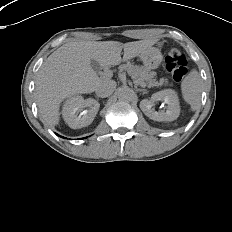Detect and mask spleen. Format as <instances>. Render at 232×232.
I'll use <instances>...</instances> for the list:
<instances>
[{
    "instance_id": "3e777b00",
    "label": "spleen",
    "mask_w": 232,
    "mask_h": 232,
    "mask_svg": "<svg viewBox=\"0 0 232 232\" xmlns=\"http://www.w3.org/2000/svg\"><path fill=\"white\" fill-rule=\"evenodd\" d=\"M181 93L183 99L191 106L193 111H196L200 107L202 79L196 69L191 70L183 79L181 83Z\"/></svg>"
}]
</instances>
